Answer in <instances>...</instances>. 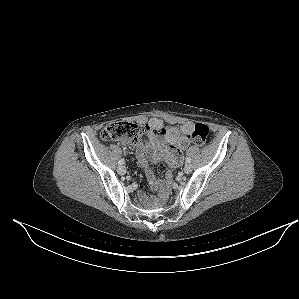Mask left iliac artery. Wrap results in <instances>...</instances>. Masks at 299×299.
I'll use <instances>...</instances> for the list:
<instances>
[{"mask_svg": "<svg viewBox=\"0 0 299 299\" xmlns=\"http://www.w3.org/2000/svg\"><path fill=\"white\" fill-rule=\"evenodd\" d=\"M186 161H187L188 163H190V162H191V158L187 157V158H186Z\"/></svg>", "mask_w": 299, "mask_h": 299, "instance_id": "left-iliac-artery-1", "label": "left iliac artery"}]
</instances>
